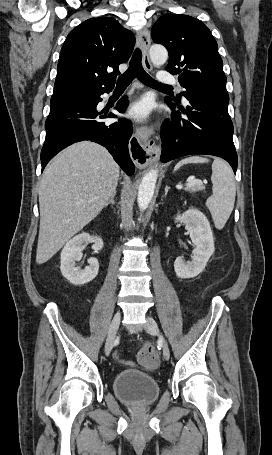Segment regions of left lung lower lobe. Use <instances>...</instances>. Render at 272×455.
I'll return each instance as SVG.
<instances>
[{
	"mask_svg": "<svg viewBox=\"0 0 272 455\" xmlns=\"http://www.w3.org/2000/svg\"><path fill=\"white\" fill-rule=\"evenodd\" d=\"M188 106L166 97L173 111L161 130V161L190 155L208 154L225 159L237 170V153L233 143V124L228 114L229 95L223 90L201 89L185 96ZM181 113L183 115H181Z\"/></svg>",
	"mask_w": 272,
	"mask_h": 455,
	"instance_id": "obj_1",
	"label": "left lung lower lobe"
}]
</instances>
